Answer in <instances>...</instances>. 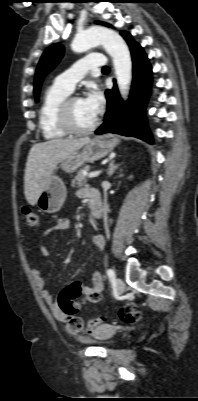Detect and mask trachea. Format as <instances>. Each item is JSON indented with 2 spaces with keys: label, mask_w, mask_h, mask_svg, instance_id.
<instances>
[{
  "label": "trachea",
  "mask_w": 198,
  "mask_h": 401,
  "mask_svg": "<svg viewBox=\"0 0 198 401\" xmlns=\"http://www.w3.org/2000/svg\"><path fill=\"white\" fill-rule=\"evenodd\" d=\"M102 70H103V71H108V70H109V67H108V66H104Z\"/></svg>",
  "instance_id": "3493384b"
}]
</instances>
